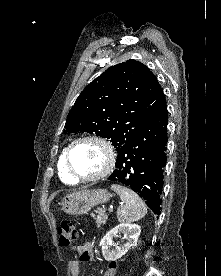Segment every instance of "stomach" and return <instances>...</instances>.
I'll return each instance as SVG.
<instances>
[{
	"instance_id": "1",
	"label": "stomach",
	"mask_w": 221,
	"mask_h": 276,
	"mask_svg": "<svg viewBox=\"0 0 221 276\" xmlns=\"http://www.w3.org/2000/svg\"><path fill=\"white\" fill-rule=\"evenodd\" d=\"M110 197L105 189L75 192L61 200V210L69 215L85 214L94 206L108 202Z\"/></svg>"
}]
</instances>
